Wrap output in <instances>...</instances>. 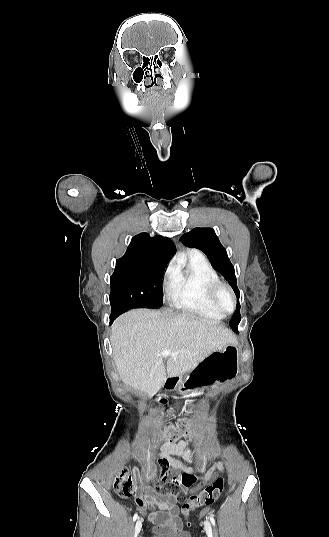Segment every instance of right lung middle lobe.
Wrapping results in <instances>:
<instances>
[{"instance_id": "dd1d6c3e", "label": "right lung middle lobe", "mask_w": 329, "mask_h": 537, "mask_svg": "<svg viewBox=\"0 0 329 537\" xmlns=\"http://www.w3.org/2000/svg\"><path fill=\"white\" fill-rule=\"evenodd\" d=\"M166 264H155L115 270L110 278V318L136 306L161 307L162 276Z\"/></svg>"}]
</instances>
